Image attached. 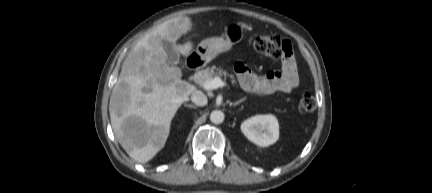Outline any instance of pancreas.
<instances>
[{
  "instance_id": "pancreas-1",
  "label": "pancreas",
  "mask_w": 432,
  "mask_h": 193,
  "mask_svg": "<svg viewBox=\"0 0 432 193\" xmlns=\"http://www.w3.org/2000/svg\"><path fill=\"white\" fill-rule=\"evenodd\" d=\"M228 73L223 70L221 67H207L199 72H197L194 76V80L197 84L203 85L206 81L213 79L214 77H226ZM230 78H233V75H230Z\"/></svg>"
}]
</instances>
